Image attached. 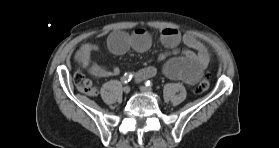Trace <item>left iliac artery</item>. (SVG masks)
<instances>
[{"instance_id": "44dca946", "label": "left iliac artery", "mask_w": 279, "mask_h": 148, "mask_svg": "<svg viewBox=\"0 0 279 148\" xmlns=\"http://www.w3.org/2000/svg\"><path fill=\"white\" fill-rule=\"evenodd\" d=\"M145 85H146L147 87H151V86H152V83L148 80V81L145 82Z\"/></svg>"}]
</instances>
